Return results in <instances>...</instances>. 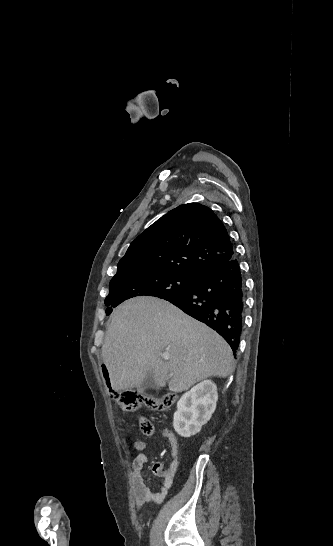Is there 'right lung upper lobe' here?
<instances>
[{"label":"right lung upper lobe","instance_id":"obj_1","mask_svg":"<svg viewBox=\"0 0 333 546\" xmlns=\"http://www.w3.org/2000/svg\"><path fill=\"white\" fill-rule=\"evenodd\" d=\"M235 256L217 215L199 203L180 205L158 219L129 246L117 269L138 268L199 277Z\"/></svg>","mask_w":333,"mask_h":546}]
</instances>
